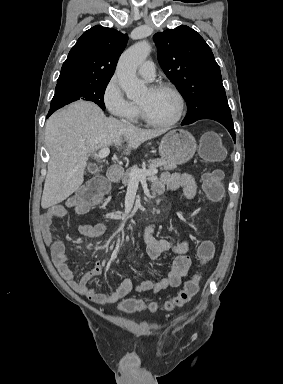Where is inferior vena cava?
Returning a JSON list of instances; mask_svg holds the SVG:
<instances>
[{
  "mask_svg": "<svg viewBox=\"0 0 283 384\" xmlns=\"http://www.w3.org/2000/svg\"><path fill=\"white\" fill-rule=\"evenodd\" d=\"M122 122H124V124H128V122H126V120H122Z\"/></svg>",
  "mask_w": 283,
  "mask_h": 384,
  "instance_id": "obj_1",
  "label": "inferior vena cava"
}]
</instances>
